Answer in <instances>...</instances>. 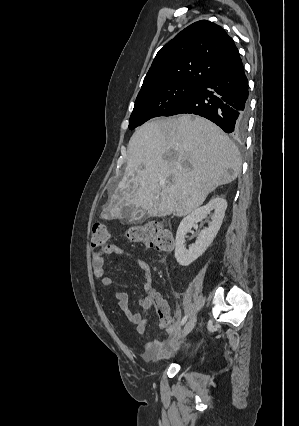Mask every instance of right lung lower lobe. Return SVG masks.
Returning <instances> with one entry per match:
<instances>
[{
	"label": "right lung lower lobe",
	"instance_id": "1",
	"mask_svg": "<svg viewBox=\"0 0 299 426\" xmlns=\"http://www.w3.org/2000/svg\"><path fill=\"white\" fill-rule=\"evenodd\" d=\"M248 95V81L239 57L164 116L196 114L211 120L227 133L241 135L247 125Z\"/></svg>",
	"mask_w": 299,
	"mask_h": 426
}]
</instances>
